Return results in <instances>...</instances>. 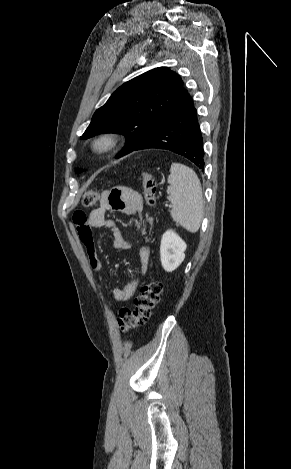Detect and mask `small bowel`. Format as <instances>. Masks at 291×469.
I'll list each match as a JSON object with an SVG mask.
<instances>
[{
	"label": "small bowel",
	"instance_id": "c3829d8e",
	"mask_svg": "<svg viewBox=\"0 0 291 469\" xmlns=\"http://www.w3.org/2000/svg\"><path fill=\"white\" fill-rule=\"evenodd\" d=\"M108 211L121 212L127 215H138L143 211L141 195L128 187H116L105 191L99 207L86 216L83 212L77 211L73 220L77 227L82 244L85 247L90 268L97 273L102 272V264L97 257L93 229L105 227L113 233V246L117 249H128L130 242L123 236L117 223L106 218ZM84 229L86 234H82ZM150 250L147 246H142L139 250V272L145 275L148 269ZM138 277L132 278L125 286L117 287L113 290L116 301L124 302L131 299L137 292Z\"/></svg>",
	"mask_w": 291,
	"mask_h": 469
}]
</instances>
